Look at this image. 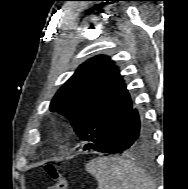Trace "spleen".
<instances>
[{"label":"spleen","mask_w":188,"mask_h":189,"mask_svg":"<svg viewBox=\"0 0 188 189\" xmlns=\"http://www.w3.org/2000/svg\"><path fill=\"white\" fill-rule=\"evenodd\" d=\"M86 170L98 181L97 189H151L145 172L123 158L99 157L86 164Z\"/></svg>","instance_id":"3e777b00"}]
</instances>
